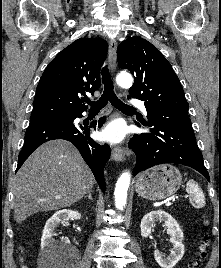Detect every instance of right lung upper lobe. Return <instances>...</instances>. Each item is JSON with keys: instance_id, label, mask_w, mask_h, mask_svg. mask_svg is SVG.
<instances>
[{"instance_id": "obj_1", "label": "right lung upper lobe", "mask_w": 221, "mask_h": 268, "mask_svg": "<svg viewBox=\"0 0 221 268\" xmlns=\"http://www.w3.org/2000/svg\"><path fill=\"white\" fill-rule=\"evenodd\" d=\"M107 50L100 38H80L63 49L41 76L30 121L82 115L88 107L81 95L94 94L101 86L100 69Z\"/></svg>"}]
</instances>
